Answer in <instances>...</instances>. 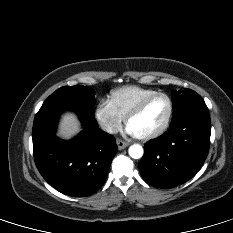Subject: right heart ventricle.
<instances>
[{
  "label": "right heart ventricle",
  "mask_w": 233,
  "mask_h": 233,
  "mask_svg": "<svg viewBox=\"0 0 233 233\" xmlns=\"http://www.w3.org/2000/svg\"><path fill=\"white\" fill-rule=\"evenodd\" d=\"M156 92L139 86H124L111 91L108 101L115 111L125 118L138 103Z\"/></svg>",
  "instance_id": "right-heart-ventricle-1"
}]
</instances>
